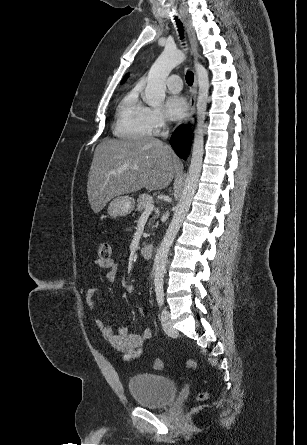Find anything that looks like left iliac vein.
Listing matches in <instances>:
<instances>
[{
    "label": "left iliac vein",
    "mask_w": 307,
    "mask_h": 445,
    "mask_svg": "<svg viewBox=\"0 0 307 445\" xmlns=\"http://www.w3.org/2000/svg\"><path fill=\"white\" fill-rule=\"evenodd\" d=\"M161 324L163 330L169 336H174L177 334V330L173 327L170 312L166 308H164L161 313Z\"/></svg>",
    "instance_id": "4c4485c4"
}]
</instances>
